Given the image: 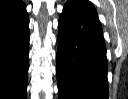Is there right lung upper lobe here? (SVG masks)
<instances>
[{"label":"right lung upper lobe","mask_w":128,"mask_h":99,"mask_svg":"<svg viewBox=\"0 0 128 99\" xmlns=\"http://www.w3.org/2000/svg\"><path fill=\"white\" fill-rule=\"evenodd\" d=\"M22 0H0V19L23 6Z\"/></svg>","instance_id":"right-lung-upper-lobe-1"}]
</instances>
